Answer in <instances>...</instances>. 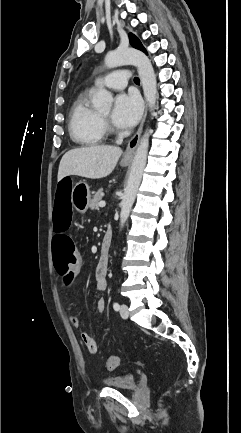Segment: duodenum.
I'll use <instances>...</instances> for the list:
<instances>
[{"label":"duodenum","mask_w":241,"mask_h":433,"mask_svg":"<svg viewBox=\"0 0 241 433\" xmlns=\"http://www.w3.org/2000/svg\"><path fill=\"white\" fill-rule=\"evenodd\" d=\"M111 242H112V231L110 227H108L104 234L102 244H101V257L104 259H106L108 256Z\"/></svg>","instance_id":"duodenum-1"}]
</instances>
